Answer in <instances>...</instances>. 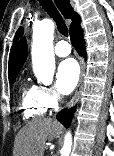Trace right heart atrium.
<instances>
[{"label":"right heart atrium","mask_w":114,"mask_h":156,"mask_svg":"<svg viewBox=\"0 0 114 156\" xmlns=\"http://www.w3.org/2000/svg\"><path fill=\"white\" fill-rule=\"evenodd\" d=\"M40 97L47 108H54L60 101L58 92L52 86H39Z\"/></svg>","instance_id":"obj_1"}]
</instances>
